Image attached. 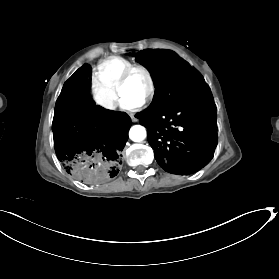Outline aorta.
<instances>
[{"label": "aorta", "mask_w": 279, "mask_h": 279, "mask_svg": "<svg viewBox=\"0 0 279 279\" xmlns=\"http://www.w3.org/2000/svg\"><path fill=\"white\" fill-rule=\"evenodd\" d=\"M146 129L142 125H134L129 130V137L134 142H141L146 138Z\"/></svg>", "instance_id": "762f6f07"}]
</instances>
